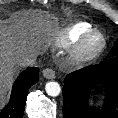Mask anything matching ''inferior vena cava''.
Masks as SVG:
<instances>
[{"mask_svg": "<svg viewBox=\"0 0 118 118\" xmlns=\"http://www.w3.org/2000/svg\"><path fill=\"white\" fill-rule=\"evenodd\" d=\"M37 62V54L31 53L26 55L19 63L21 66H34Z\"/></svg>", "mask_w": 118, "mask_h": 118, "instance_id": "inferior-vena-cava-1", "label": "inferior vena cava"}]
</instances>
